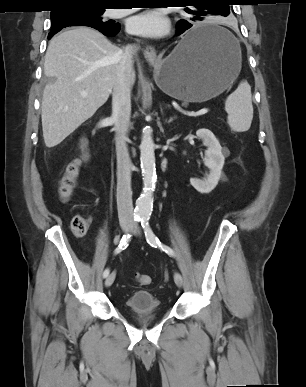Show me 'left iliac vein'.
<instances>
[{"mask_svg":"<svg viewBox=\"0 0 306 387\" xmlns=\"http://www.w3.org/2000/svg\"><path fill=\"white\" fill-rule=\"evenodd\" d=\"M132 232L133 234L137 235L140 233V228L138 226H135L134 228H132ZM174 281L179 288L183 286V278L180 273L176 272L174 274Z\"/></svg>","mask_w":306,"mask_h":387,"instance_id":"4c4485c4","label":"left iliac vein"}]
</instances>
